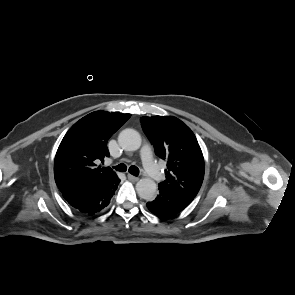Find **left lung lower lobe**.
<instances>
[{"label":"left lung lower lobe","instance_id":"0a47b994","mask_svg":"<svg viewBox=\"0 0 295 295\" xmlns=\"http://www.w3.org/2000/svg\"><path fill=\"white\" fill-rule=\"evenodd\" d=\"M193 199L190 196L159 188L158 196L148 202L147 207L156 216L167 218L180 213Z\"/></svg>","mask_w":295,"mask_h":295}]
</instances>
